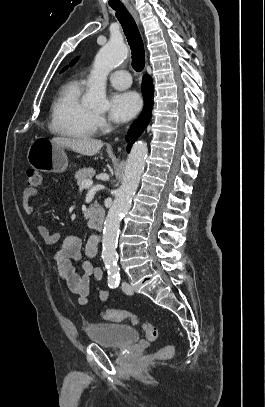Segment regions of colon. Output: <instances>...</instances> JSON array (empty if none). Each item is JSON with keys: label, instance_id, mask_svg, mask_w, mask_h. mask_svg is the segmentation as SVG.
<instances>
[{"label": "colon", "instance_id": "obj_1", "mask_svg": "<svg viewBox=\"0 0 265 407\" xmlns=\"http://www.w3.org/2000/svg\"><path fill=\"white\" fill-rule=\"evenodd\" d=\"M27 184L29 187L39 189L43 185V178L39 171L35 169L27 170ZM103 318L108 321L123 322L131 321L133 324H141L142 331L146 339L155 340L158 337V328L148 322H142L141 319L128 310L107 309L103 312ZM174 346L165 345L157 351L153 357L157 359H169L174 354Z\"/></svg>", "mask_w": 265, "mask_h": 407}]
</instances>
